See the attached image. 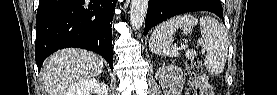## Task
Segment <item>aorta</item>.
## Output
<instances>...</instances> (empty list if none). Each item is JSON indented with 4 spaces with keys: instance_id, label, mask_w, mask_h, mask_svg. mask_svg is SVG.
I'll list each match as a JSON object with an SVG mask.
<instances>
[{
    "instance_id": "aorta-1",
    "label": "aorta",
    "mask_w": 277,
    "mask_h": 95,
    "mask_svg": "<svg viewBox=\"0 0 277 95\" xmlns=\"http://www.w3.org/2000/svg\"><path fill=\"white\" fill-rule=\"evenodd\" d=\"M148 0H131L130 23L133 30H139L146 18Z\"/></svg>"
}]
</instances>
